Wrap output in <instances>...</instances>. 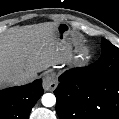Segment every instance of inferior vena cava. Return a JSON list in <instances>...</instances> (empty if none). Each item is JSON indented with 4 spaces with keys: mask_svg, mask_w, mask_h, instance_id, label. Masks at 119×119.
Wrapping results in <instances>:
<instances>
[{
    "mask_svg": "<svg viewBox=\"0 0 119 119\" xmlns=\"http://www.w3.org/2000/svg\"><path fill=\"white\" fill-rule=\"evenodd\" d=\"M32 80V77L28 74H22L20 76H17L14 79V84L16 85H22V84H26L29 83Z\"/></svg>",
    "mask_w": 119,
    "mask_h": 119,
    "instance_id": "602c4592",
    "label": "inferior vena cava"
}]
</instances>
